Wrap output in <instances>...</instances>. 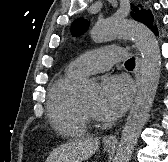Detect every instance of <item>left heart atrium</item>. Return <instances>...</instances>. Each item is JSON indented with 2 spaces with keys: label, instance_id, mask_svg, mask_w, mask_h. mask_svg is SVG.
<instances>
[{
  "label": "left heart atrium",
  "instance_id": "39dd6f15",
  "mask_svg": "<svg viewBox=\"0 0 168 162\" xmlns=\"http://www.w3.org/2000/svg\"><path fill=\"white\" fill-rule=\"evenodd\" d=\"M133 89L123 76H107L103 79L97 98L96 116L103 120H114L127 109Z\"/></svg>",
  "mask_w": 168,
  "mask_h": 162
}]
</instances>
